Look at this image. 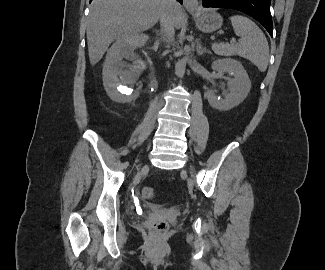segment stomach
Instances as JSON below:
<instances>
[{"label":"stomach","instance_id":"0dacf381","mask_svg":"<svg viewBox=\"0 0 325 270\" xmlns=\"http://www.w3.org/2000/svg\"><path fill=\"white\" fill-rule=\"evenodd\" d=\"M198 29L205 33H211L221 28L223 19L213 10L196 11L193 13Z\"/></svg>","mask_w":325,"mask_h":270}]
</instances>
